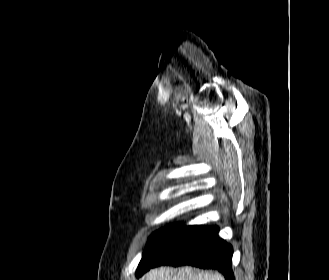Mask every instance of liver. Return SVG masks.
Here are the masks:
<instances>
[{
    "mask_svg": "<svg viewBox=\"0 0 329 280\" xmlns=\"http://www.w3.org/2000/svg\"><path fill=\"white\" fill-rule=\"evenodd\" d=\"M144 280H223L222 277L215 273L203 272L192 267H160L152 269L146 274Z\"/></svg>",
    "mask_w": 329,
    "mask_h": 280,
    "instance_id": "obj_1",
    "label": "liver"
}]
</instances>
